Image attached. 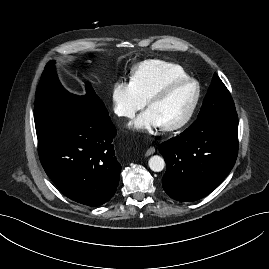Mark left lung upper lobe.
Segmentation results:
<instances>
[{
  "label": "left lung upper lobe",
  "mask_w": 269,
  "mask_h": 269,
  "mask_svg": "<svg viewBox=\"0 0 269 269\" xmlns=\"http://www.w3.org/2000/svg\"><path fill=\"white\" fill-rule=\"evenodd\" d=\"M233 111H235L233 99L224 83L215 73L198 118L217 116Z\"/></svg>",
  "instance_id": "obj_1"
}]
</instances>
